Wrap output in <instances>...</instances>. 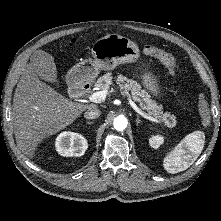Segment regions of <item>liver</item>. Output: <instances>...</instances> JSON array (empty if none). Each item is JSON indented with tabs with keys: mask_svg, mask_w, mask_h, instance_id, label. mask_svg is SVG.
I'll use <instances>...</instances> for the list:
<instances>
[{
	"mask_svg": "<svg viewBox=\"0 0 221 221\" xmlns=\"http://www.w3.org/2000/svg\"><path fill=\"white\" fill-rule=\"evenodd\" d=\"M51 64L55 65L49 53L35 51L23 70L13 97L16 143L29 157L34 154L39 142L67 128L86 109L96 107L72 102L42 82L41 79L50 82L48 70Z\"/></svg>",
	"mask_w": 221,
	"mask_h": 221,
	"instance_id": "6515ba94",
	"label": "liver"
}]
</instances>
